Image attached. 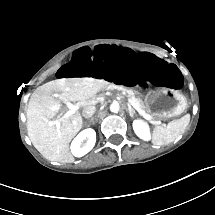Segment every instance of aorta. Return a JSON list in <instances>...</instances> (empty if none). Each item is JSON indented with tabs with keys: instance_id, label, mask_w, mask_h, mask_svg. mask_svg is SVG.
I'll return each mask as SVG.
<instances>
[{
	"instance_id": "obj_1",
	"label": "aorta",
	"mask_w": 215,
	"mask_h": 215,
	"mask_svg": "<svg viewBox=\"0 0 215 215\" xmlns=\"http://www.w3.org/2000/svg\"><path fill=\"white\" fill-rule=\"evenodd\" d=\"M120 110V106L118 103H112L110 105V111L113 113H117Z\"/></svg>"
}]
</instances>
